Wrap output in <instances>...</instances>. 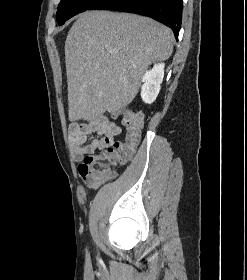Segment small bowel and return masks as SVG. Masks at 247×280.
<instances>
[{
	"label": "small bowel",
	"instance_id": "c3829d8e",
	"mask_svg": "<svg viewBox=\"0 0 247 280\" xmlns=\"http://www.w3.org/2000/svg\"><path fill=\"white\" fill-rule=\"evenodd\" d=\"M121 131L118 124L105 116L87 122L71 123L69 134L74 150V159L79 163V173L86 187L97 188L107 179H98L86 174L82 170L85 158L93 155L96 150H104L111 146ZM114 175L113 172L112 177Z\"/></svg>",
	"mask_w": 247,
	"mask_h": 280
}]
</instances>
